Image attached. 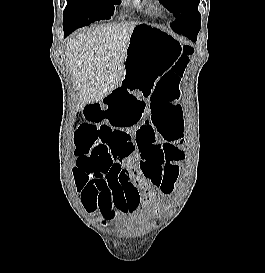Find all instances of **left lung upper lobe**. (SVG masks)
<instances>
[{
  "label": "left lung upper lobe",
  "instance_id": "5c2ea615",
  "mask_svg": "<svg viewBox=\"0 0 265 273\" xmlns=\"http://www.w3.org/2000/svg\"><path fill=\"white\" fill-rule=\"evenodd\" d=\"M166 8H168L176 20L171 23V26L180 24L184 19L192 16H201L197 10L200 0H160Z\"/></svg>",
  "mask_w": 265,
  "mask_h": 273
}]
</instances>
